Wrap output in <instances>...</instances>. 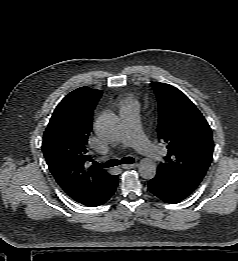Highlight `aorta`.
Returning a JSON list of instances; mask_svg holds the SVG:
<instances>
[{
    "label": "aorta",
    "mask_w": 238,
    "mask_h": 261,
    "mask_svg": "<svg viewBox=\"0 0 238 261\" xmlns=\"http://www.w3.org/2000/svg\"><path fill=\"white\" fill-rule=\"evenodd\" d=\"M96 129L101 137L114 141L120 132L119 120L113 113L106 114L98 121ZM156 168L152 160L144 158L140 161L138 170L142 178L150 180L156 175Z\"/></svg>",
    "instance_id": "1"
}]
</instances>
